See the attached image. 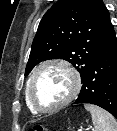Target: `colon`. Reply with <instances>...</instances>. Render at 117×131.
I'll return each mask as SVG.
<instances>
[{
	"label": "colon",
	"instance_id": "obj_1",
	"mask_svg": "<svg viewBox=\"0 0 117 131\" xmlns=\"http://www.w3.org/2000/svg\"><path fill=\"white\" fill-rule=\"evenodd\" d=\"M28 131H50V130H48L47 128H45L41 125H36ZM53 131H56V130H53Z\"/></svg>",
	"mask_w": 117,
	"mask_h": 131
}]
</instances>
